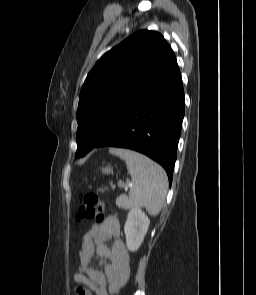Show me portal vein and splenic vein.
<instances>
[{
    "label": "portal vein and splenic vein",
    "mask_w": 256,
    "mask_h": 295,
    "mask_svg": "<svg viewBox=\"0 0 256 295\" xmlns=\"http://www.w3.org/2000/svg\"><path fill=\"white\" fill-rule=\"evenodd\" d=\"M118 186H119V187H125V188H127V187H131L132 184L126 185V184H124V183H122V182H118Z\"/></svg>",
    "instance_id": "portal-vein-and-splenic-vein-1"
}]
</instances>
